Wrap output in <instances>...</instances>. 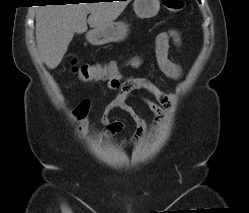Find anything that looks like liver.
<instances>
[{
  "label": "liver",
  "mask_w": 249,
  "mask_h": 213,
  "mask_svg": "<svg viewBox=\"0 0 249 213\" xmlns=\"http://www.w3.org/2000/svg\"><path fill=\"white\" fill-rule=\"evenodd\" d=\"M127 1L94 2L41 6L36 13V42L38 51L49 69L63 59L74 33L110 24L126 8ZM90 16L87 19V15Z\"/></svg>",
  "instance_id": "1"
}]
</instances>
